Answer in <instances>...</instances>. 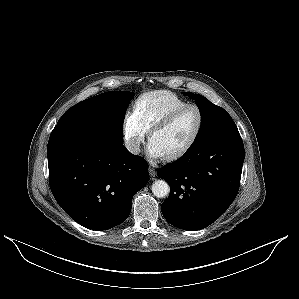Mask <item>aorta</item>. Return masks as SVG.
<instances>
[{"instance_id": "762f6f07", "label": "aorta", "mask_w": 299, "mask_h": 299, "mask_svg": "<svg viewBox=\"0 0 299 299\" xmlns=\"http://www.w3.org/2000/svg\"><path fill=\"white\" fill-rule=\"evenodd\" d=\"M152 193L158 198L166 197L170 192L168 183L164 180H156L151 187Z\"/></svg>"}]
</instances>
